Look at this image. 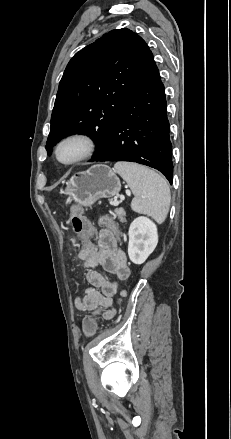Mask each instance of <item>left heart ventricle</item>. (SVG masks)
Segmentation results:
<instances>
[{
    "label": "left heart ventricle",
    "mask_w": 231,
    "mask_h": 439,
    "mask_svg": "<svg viewBox=\"0 0 231 439\" xmlns=\"http://www.w3.org/2000/svg\"><path fill=\"white\" fill-rule=\"evenodd\" d=\"M84 146L79 141H71L63 145L60 149L59 156L63 161H69L83 152Z\"/></svg>",
    "instance_id": "b2bd125f"
}]
</instances>
